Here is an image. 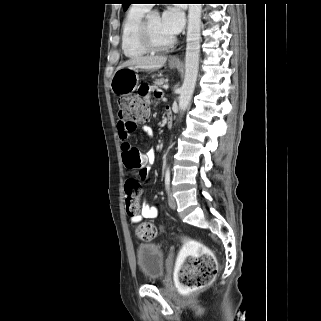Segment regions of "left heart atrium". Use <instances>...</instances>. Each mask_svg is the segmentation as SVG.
Listing matches in <instances>:
<instances>
[{"label": "left heart atrium", "mask_w": 321, "mask_h": 321, "mask_svg": "<svg viewBox=\"0 0 321 321\" xmlns=\"http://www.w3.org/2000/svg\"><path fill=\"white\" fill-rule=\"evenodd\" d=\"M162 27L172 36L177 35L184 26V13L179 6H169L160 17Z\"/></svg>", "instance_id": "obj_1"}]
</instances>
